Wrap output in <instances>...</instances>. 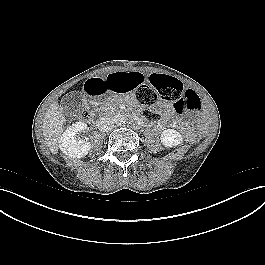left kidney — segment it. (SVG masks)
I'll list each match as a JSON object with an SVG mask.
<instances>
[{"label": "left kidney", "instance_id": "5707ae66", "mask_svg": "<svg viewBox=\"0 0 265 265\" xmlns=\"http://www.w3.org/2000/svg\"><path fill=\"white\" fill-rule=\"evenodd\" d=\"M183 138L181 134L174 129L164 130L161 134V142L165 147H173L181 144Z\"/></svg>", "mask_w": 265, "mask_h": 265}]
</instances>
